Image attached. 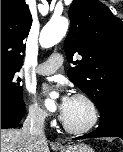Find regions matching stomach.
I'll return each mask as SVG.
<instances>
[{"instance_id":"stomach-1","label":"stomach","mask_w":123,"mask_h":152,"mask_svg":"<svg viewBox=\"0 0 123 152\" xmlns=\"http://www.w3.org/2000/svg\"><path fill=\"white\" fill-rule=\"evenodd\" d=\"M59 152H94V150L85 144H76L59 149Z\"/></svg>"}]
</instances>
